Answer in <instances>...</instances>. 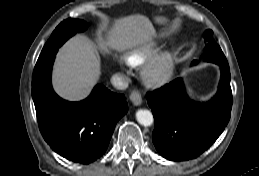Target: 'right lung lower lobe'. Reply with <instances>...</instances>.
<instances>
[{"label": "right lung lower lobe", "instance_id": "right-lung-lower-lobe-1", "mask_svg": "<svg viewBox=\"0 0 259 176\" xmlns=\"http://www.w3.org/2000/svg\"><path fill=\"white\" fill-rule=\"evenodd\" d=\"M58 49L39 56L33 72L32 97L40 132L62 157L88 164L102 156L117 121L128 111L125 96L97 85L88 98L68 102L51 86L52 65Z\"/></svg>", "mask_w": 259, "mask_h": 176}]
</instances>
